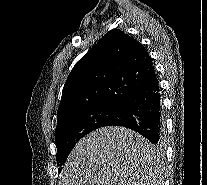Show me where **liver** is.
Masks as SVG:
<instances>
[{"label": "liver", "instance_id": "liver-1", "mask_svg": "<svg viewBox=\"0 0 207 185\" xmlns=\"http://www.w3.org/2000/svg\"><path fill=\"white\" fill-rule=\"evenodd\" d=\"M152 145L126 127H101L72 149L61 185H151Z\"/></svg>", "mask_w": 207, "mask_h": 185}]
</instances>
